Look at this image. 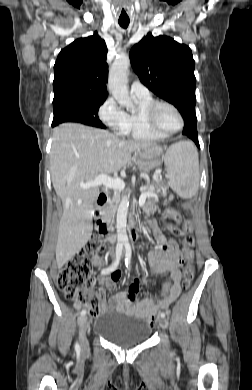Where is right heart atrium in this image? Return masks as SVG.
I'll list each match as a JSON object with an SVG mask.
<instances>
[{"mask_svg":"<svg viewBox=\"0 0 252 390\" xmlns=\"http://www.w3.org/2000/svg\"><path fill=\"white\" fill-rule=\"evenodd\" d=\"M100 120L119 135L127 132V114L121 109L114 98H107L100 106Z\"/></svg>","mask_w":252,"mask_h":390,"instance_id":"right-heart-atrium-1","label":"right heart atrium"}]
</instances>
